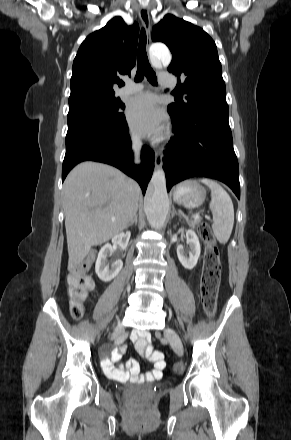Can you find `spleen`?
<instances>
[{
  "label": "spleen",
  "instance_id": "1",
  "mask_svg": "<svg viewBox=\"0 0 291 440\" xmlns=\"http://www.w3.org/2000/svg\"><path fill=\"white\" fill-rule=\"evenodd\" d=\"M211 190L210 210L213 214L212 229L221 244L228 242L234 225V207L229 194L216 181L199 180Z\"/></svg>",
  "mask_w": 291,
  "mask_h": 440
}]
</instances>
